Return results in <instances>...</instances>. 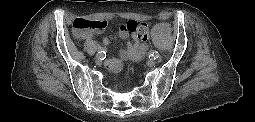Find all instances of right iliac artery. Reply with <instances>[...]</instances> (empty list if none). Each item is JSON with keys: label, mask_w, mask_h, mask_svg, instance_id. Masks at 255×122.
I'll return each instance as SVG.
<instances>
[{"label": "right iliac artery", "mask_w": 255, "mask_h": 122, "mask_svg": "<svg viewBox=\"0 0 255 122\" xmlns=\"http://www.w3.org/2000/svg\"><path fill=\"white\" fill-rule=\"evenodd\" d=\"M98 54H102V55L105 54L103 47H101V46L98 47Z\"/></svg>", "instance_id": "obj_1"}]
</instances>
